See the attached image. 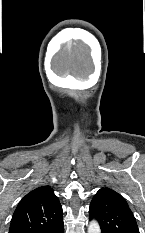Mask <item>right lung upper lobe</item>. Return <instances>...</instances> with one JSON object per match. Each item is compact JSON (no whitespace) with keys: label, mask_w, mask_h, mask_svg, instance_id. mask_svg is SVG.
<instances>
[{"label":"right lung upper lobe","mask_w":145,"mask_h":233,"mask_svg":"<svg viewBox=\"0 0 145 233\" xmlns=\"http://www.w3.org/2000/svg\"><path fill=\"white\" fill-rule=\"evenodd\" d=\"M62 206L49 186L38 187L19 202L9 233H50L61 222Z\"/></svg>","instance_id":"right-lung-upper-lobe-1"}]
</instances>
